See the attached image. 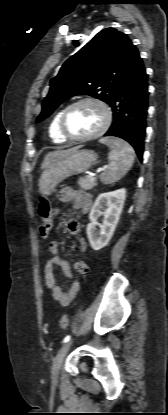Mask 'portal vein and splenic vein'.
I'll use <instances>...</instances> for the list:
<instances>
[{
    "instance_id": "portal-vein-and-splenic-vein-1",
    "label": "portal vein and splenic vein",
    "mask_w": 168,
    "mask_h": 415,
    "mask_svg": "<svg viewBox=\"0 0 168 415\" xmlns=\"http://www.w3.org/2000/svg\"><path fill=\"white\" fill-rule=\"evenodd\" d=\"M89 177H90V178H94V174H90V175H89Z\"/></svg>"
}]
</instances>
